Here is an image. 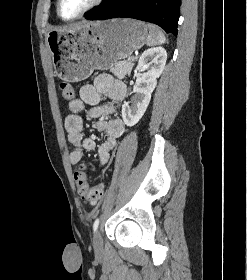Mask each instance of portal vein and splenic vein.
<instances>
[{
    "label": "portal vein and splenic vein",
    "instance_id": "18ae733b",
    "mask_svg": "<svg viewBox=\"0 0 247 280\" xmlns=\"http://www.w3.org/2000/svg\"><path fill=\"white\" fill-rule=\"evenodd\" d=\"M134 58L133 57H131V58H129L128 60H133Z\"/></svg>",
    "mask_w": 247,
    "mask_h": 280
}]
</instances>
